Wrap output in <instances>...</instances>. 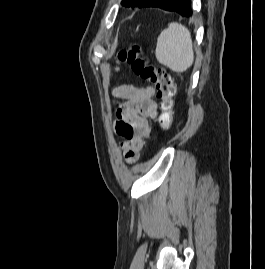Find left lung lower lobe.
<instances>
[{
  "label": "left lung lower lobe",
  "mask_w": 265,
  "mask_h": 269,
  "mask_svg": "<svg viewBox=\"0 0 265 269\" xmlns=\"http://www.w3.org/2000/svg\"><path fill=\"white\" fill-rule=\"evenodd\" d=\"M138 7H157L167 11L177 12L185 17H190L193 14L191 0H145Z\"/></svg>",
  "instance_id": "obj_1"
}]
</instances>
